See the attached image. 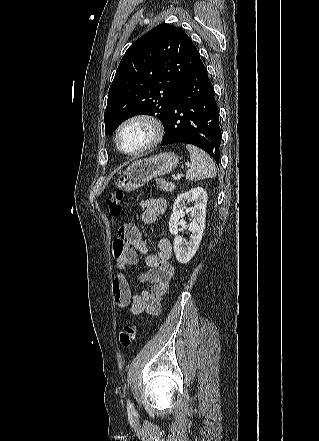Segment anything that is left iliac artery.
Wrapping results in <instances>:
<instances>
[{
	"instance_id": "44dca946",
	"label": "left iliac artery",
	"mask_w": 319,
	"mask_h": 441,
	"mask_svg": "<svg viewBox=\"0 0 319 441\" xmlns=\"http://www.w3.org/2000/svg\"><path fill=\"white\" fill-rule=\"evenodd\" d=\"M127 408H128V410H133V405L130 402V400L127 401Z\"/></svg>"
}]
</instances>
